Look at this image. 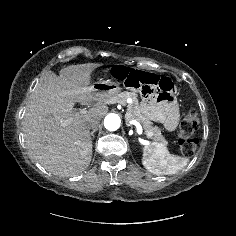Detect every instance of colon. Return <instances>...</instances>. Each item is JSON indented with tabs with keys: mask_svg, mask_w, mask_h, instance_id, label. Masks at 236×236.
I'll return each mask as SVG.
<instances>
[{
	"mask_svg": "<svg viewBox=\"0 0 236 236\" xmlns=\"http://www.w3.org/2000/svg\"><path fill=\"white\" fill-rule=\"evenodd\" d=\"M109 74L129 88H141L145 95L157 92L169 96L173 92V83L167 78H158L152 74L129 70L120 65L113 67ZM198 124V112L195 109H190L184 115L177 129L180 151L185 156H191L199 144L200 138L196 132Z\"/></svg>",
	"mask_w": 236,
	"mask_h": 236,
	"instance_id": "1",
	"label": "colon"
}]
</instances>
